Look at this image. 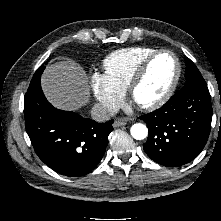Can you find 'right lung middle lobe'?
I'll return each instance as SVG.
<instances>
[{"instance_id": "dd1d6c3e", "label": "right lung middle lobe", "mask_w": 221, "mask_h": 221, "mask_svg": "<svg viewBox=\"0 0 221 221\" xmlns=\"http://www.w3.org/2000/svg\"><path fill=\"white\" fill-rule=\"evenodd\" d=\"M46 63H47V62H46ZM46 63H45V64H46ZM44 69H45V66H44V65L40 66V67L38 68V70L36 71V73L34 74V76H35V77L41 76V74H42V72H43Z\"/></svg>"}]
</instances>
